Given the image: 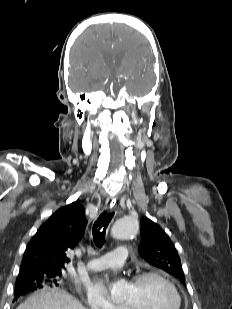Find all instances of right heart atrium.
I'll use <instances>...</instances> for the list:
<instances>
[{
	"label": "right heart atrium",
	"mask_w": 232,
	"mask_h": 309,
	"mask_svg": "<svg viewBox=\"0 0 232 309\" xmlns=\"http://www.w3.org/2000/svg\"><path fill=\"white\" fill-rule=\"evenodd\" d=\"M87 304L91 309H122L112 303L99 289L91 287L88 289Z\"/></svg>",
	"instance_id": "right-heart-atrium-1"
}]
</instances>
